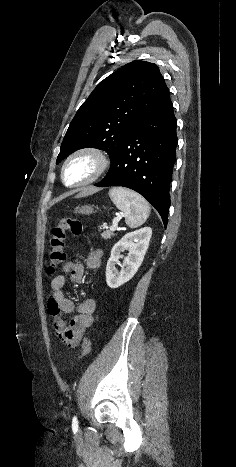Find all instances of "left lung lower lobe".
Segmentation results:
<instances>
[{"instance_id": "0a47b994", "label": "left lung lower lobe", "mask_w": 236, "mask_h": 467, "mask_svg": "<svg viewBox=\"0 0 236 467\" xmlns=\"http://www.w3.org/2000/svg\"><path fill=\"white\" fill-rule=\"evenodd\" d=\"M177 120L169 92L125 136L98 187L123 186L140 193L159 212L164 226L176 159Z\"/></svg>"}]
</instances>
